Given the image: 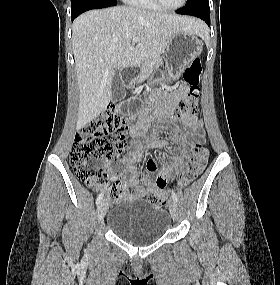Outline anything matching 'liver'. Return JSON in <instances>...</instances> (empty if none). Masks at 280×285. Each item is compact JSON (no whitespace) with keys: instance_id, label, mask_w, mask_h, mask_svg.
Returning a JSON list of instances; mask_svg holds the SVG:
<instances>
[{"instance_id":"obj_1","label":"liver","mask_w":280,"mask_h":285,"mask_svg":"<svg viewBox=\"0 0 280 285\" xmlns=\"http://www.w3.org/2000/svg\"><path fill=\"white\" fill-rule=\"evenodd\" d=\"M72 30L79 86L77 128H82L110 103L116 70L159 58L180 31L202 35L205 28L196 18L117 6L80 15ZM135 37L140 41L134 47Z\"/></svg>"}]
</instances>
